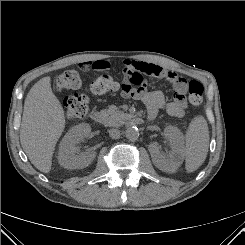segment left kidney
<instances>
[{"label": "left kidney", "instance_id": "1", "mask_svg": "<svg viewBox=\"0 0 245 245\" xmlns=\"http://www.w3.org/2000/svg\"><path fill=\"white\" fill-rule=\"evenodd\" d=\"M164 135L169 141L170 152L168 154L161 152L156 142L149 145V152L156 167L165 172H174L184 159V136L173 126H167Z\"/></svg>", "mask_w": 245, "mask_h": 245}]
</instances>
